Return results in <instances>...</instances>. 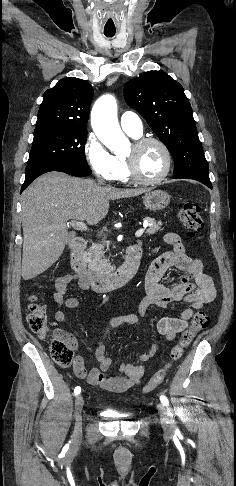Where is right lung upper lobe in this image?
<instances>
[{
  "label": "right lung upper lobe",
  "mask_w": 236,
  "mask_h": 486,
  "mask_svg": "<svg viewBox=\"0 0 236 486\" xmlns=\"http://www.w3.org/2000/svg\"><path fill=\"white\" fill-rule=\"evenodd\" d=\"M93 94V88L85 80L75 77L61 79L44 93L36 128L86 130Z\"/></svg>",
  "instance_id": "obj_1"
}]
</instances>
